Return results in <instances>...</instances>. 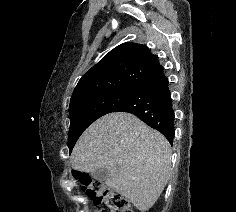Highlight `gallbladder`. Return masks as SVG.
<instances>
[{"label":"gallbladder","instance_id":"gallbladder-1","mask_svg":"<svg viewBox=\"0 0 236 212\" xmlns=\"http://www.w3.org/2000/svg\"><path fill=\"white\" fill-rule=\"evenodd\" d=\"M91 176L96 180L106 181L110 176V172L106 168H101L92 172Z\"/></svg>","mask_w":236,"mask_h":212}]
</instances>
